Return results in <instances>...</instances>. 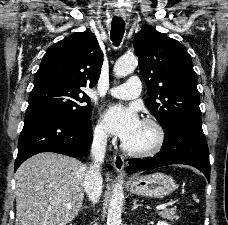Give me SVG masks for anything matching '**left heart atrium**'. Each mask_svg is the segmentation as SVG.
<instances>
[{
	"label": "left heart atrium",
	"mask_w": 228,
	"mask_h": 225,
	"mask_svg": "<svg viewBox=\"0 0 228 225\" xmlns=\"http://www.w3.org/2000/svg\"><path fill=\"white\" fill-rule=\"evenodd\" d=\"M104 120L108 129L126 142L139 134L143 124L135 108L122 105L110 106L104 113Z\"/></svg>",
	"instance_id": "obj_1"
}]
</instances>
